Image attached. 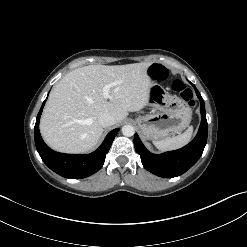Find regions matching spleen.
I'll use <instances>...</instances> for the list:
<instances>
[{
	"label": "spleen",
	"mask_w": 247,
	"mask_h": 247,
	"mask_svg": "<svg viewBox=\"0 0 247 247\" xmlns=\"http://www.w3.org/2000/svg\"><path fill=\"white\" fill-rule=\"evenodd\" d=\"M193 127H189L183 134L173 138L153 141L154 146L160 151L179 149L185 146L192 137Z\"/></svg>",
	"instance_id": "1"
}]
</instances>
